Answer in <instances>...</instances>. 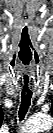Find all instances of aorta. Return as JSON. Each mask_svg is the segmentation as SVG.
I'll return each mask as SVG.
<instances>
[{"mask_svg": "<svg viewBox=\"0 0 53 133\" xmlns=\"http://www.w3.org/2000/svg\"><path fill=\"white\" fill-rule=\"evenodd\" d=\"M52 120L48 115H37L29 119L25 129L27 131H40L51 126Z\"/></svg>", "mask_w": 53, "mask_h": 133, "instance_id": "obj_1", "label": "aorta"}]
</instances>
